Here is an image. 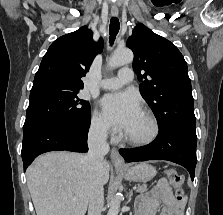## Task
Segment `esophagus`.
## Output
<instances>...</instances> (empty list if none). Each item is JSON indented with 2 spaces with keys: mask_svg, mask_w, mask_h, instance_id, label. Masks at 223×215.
Returning <instances> with one entry per match:
<instances>
[{
  "mask_svg": "<svg viewBox=\"0 0 223 215\" xmlns=\"http://www.w3.org/2000/svg\"><path fill=\"white\" fill-rule=\"evenodd\" d=\"M111 15L113 17H117L118 16V9H111ZM111 162L115 166H125L124 159L121 157L118 149L115 148V147H113L112 150H111Z\"/></svg>",
  "mask_w": 223,
  "mask_h": 215,
  "instance_id": "34e87169",
  "label": "esophagus"
}]
</instances>
